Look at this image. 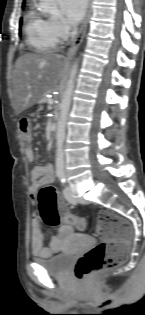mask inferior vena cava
<instances>
[{
  "label": "inferior vena cava",
  "instance_id": "1",
  "mask_svg": "<svg viewBox=\"0 0 145 315\" xmlns=\"http://www.w3.org/2000/svg\"><path fill=\"white\" fill-rule=\"evenodd\" d=\"M71 36H72V38L77 34V28L76 27H74L73 29H72V31H71Z\"/></svg>",
  "mask_w": 145,
  "mask_h": 315
}]
</instances>
